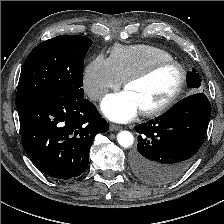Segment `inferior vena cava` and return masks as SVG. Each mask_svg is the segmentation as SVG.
I'll use <instances>...</instances> for the list:
<instances>
[{
	"mask_svg": "<svg viewBox=\"0 0 224 224\" xmlns=\"http://www.w3.org/2000/svg\"><path fill=\"white\" fill-rule=\"evenodd\" d=\"M105 95L103 90H96L90 94V98L93 100L101 99Z\"/></svg>",
	"mask_w": 224,
	"mask_h": 224,
	"instance_id": "inferior-vena-cava-1",
	"label": "inferior vena cava"
}]
</instances>
